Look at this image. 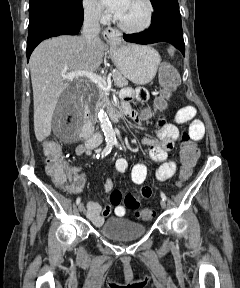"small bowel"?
I'll return each mask as SVG.
<instances>
[{
  "mask_svg": "<svg viewBox=\"0 0 240 288\" xmlns=\"http://www.w3.org/2000/svg\"><path fill=\"white\" fill-rule=\"evenodd\" d=\"M120 98L124 113L134 121L141 123V119L133 109L132 105L147 101L149 99V92L142 87H126L122 89ZM186 123H189L188 133L193 141H198L204 136L205 127L203 122L197 118V110L192 106H185L175 113L171 121H168L166 115L163 112H160L156 138L145 137L142 140V143L149 149L151 159L160 163V166L156 171V178L159 181H165L171 178L176 171V163L168 160V152L174 147L179 139L178 126ZM75 152L78 156H88L92 154V149L83 143L76 147ZM80 169L79 166H73L70 168V174L72 176V186L70 191L75 194L82 190L85 182L84 177L79 174ZM127 169L128 162L125 158H119L116 160L115 170L117 173H125ZM146 176L147 168L144 163H137L133 166L131 179L134 184H143ZM104 190L107 193H111L110 199L111 204L115 207V215L117 217H124L127 214V208L122 205V193L120 190L113 189V182L110 178L106 179ZM138 194L141 198L147 199L151 197L152 189L149 186H142ZM110 212L111 206L109 205L101 207L94 201H89L87 203V217L95 226H101Z\"/></svg>",
  "mask_w": 240,
  "mask_h": 288,
  "instance_id": "small-bowel-1",
  "label": "small bowel"
}]
</instances>
